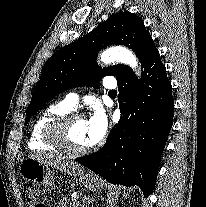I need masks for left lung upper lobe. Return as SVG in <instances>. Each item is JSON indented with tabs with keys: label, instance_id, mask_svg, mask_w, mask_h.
<instances>
[{
	"label": "left lung upper lobe",
	"instance_id": "1",
	"mask_svg": "<svg viewBox=\"0 0 206 207\" xmlns=\"http://www.w3.org/2000/svg\"><path fill=\"white\" fill-rule=\"evenodd\" d=\"M113 44L131 48L139 60L154 45L140 17L130 12L113 15L84 37L60 48L47 60L27 108L25 123L62 91L77 86L97 88L102 76L113 75L119 80L129 74L132 71L129 66L115 65L101 69L96 63L98 51Z\"/></svg>",
	"mask_w": 206,
	"mask_h": 207
}]
</instances>
